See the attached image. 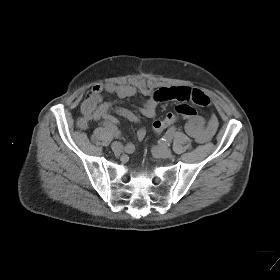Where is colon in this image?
<instances>
[{
    "label": "colon",
    "mask_w": 280,
    "mask_h": 280,
    "mask_svg": "<svg viewBox=\"0 0 280 280\" xmlns=\"http://www.w3.org/2000/svg\"><path fill=\"white\" fill-rule=\"evenodd\" d=\"M196 115L195 109L189 104H180L175 108V112L167 114L163 119L156 120L153 123L155 133H161L164 129L177 122L179 119H188ZM83 120H80V125Z\"/></svg>",
    "instance_id": "obj_1"
}]
</instances>
